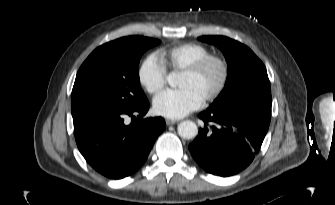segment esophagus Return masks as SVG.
I'll return each instance as SVG.
<instances>
[{"label":"esophagus","instance_id":"1","mask_svg":"<svg viewBox=\"0 0 335 205\" xmlns=\"http://www.w3.org/2000/svg\"><path fill=\"white\" fill-rule=\"evenodd\" d=\"M175 123H177L176 120L166 119V124H167V125H173V124H175Z\"/></svg>","mask_w":335,"mask_h":205}]
</instances>
